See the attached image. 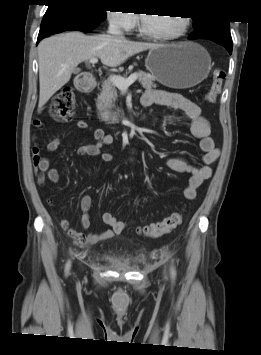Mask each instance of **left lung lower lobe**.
Returning <instances> with one entry per match:
<instances>
[{"label": "left lung lower lobe", "mask_w": 261, "mask_h": 355, "mask_svg": "<svg viewBox=\"0 0 261 355\" xmlns=\"http://www.w3.org/2000/svg\"><path fill=\"white\" fill-rule=\"evenodd\" d=\"M189 39H191V38L189 37ZM203 39H208V40L217 42V43L221 44L223 47H225L230 54L232 53V47H233L232 39L231 40H221L218 38H210V37H205Z\"/></svg>", "instance_id": "left-lung-lower-lobe-1"}]
</instances>
